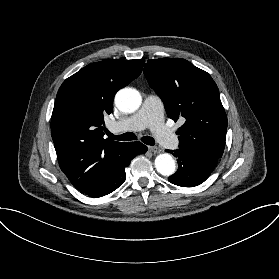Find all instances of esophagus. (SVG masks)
<instances>
[{"mask_svg":"<svg viewBox=\"0 0 279 279\" xmlns=\"http://www.w3.org/2000/svg\"><path fill=\"white\" fill-rule=\"evenodd\" d=\"M148 149L153 152L154 154H158L161 152V149L157 146H149Z\"/></svg>","mask_w":279,"mask_h":279,"instance_id":"esophagus-1","label":"esophagus"}]
</instances>
